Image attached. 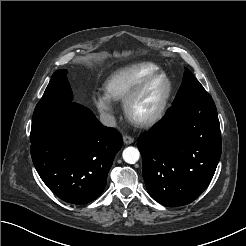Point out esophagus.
Listing matches in <instances>:
<instances>
[{"mask_svg":"<svg viewBox=\"0 0 246 246\" xmlns=\"http://www.w3.org/2000/svg\"><path fill=\"white\" fill-rule=\"evenodd\" d=\"M123 142L126 145L132 144L134 142V138L129 136V135H124L123 136Z\"/></svg>","mask_w":246,"mask_h":246,"instance_id":"34e87169","label":"esophagus"}]
</instances>
